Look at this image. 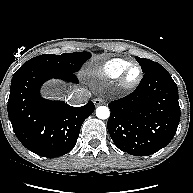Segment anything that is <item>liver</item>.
<instances>
[{
    "label": "liver",
    "instance_id": "6515ba94",
    "mask_svg": "<svg viewBox=\"0 0 193 193\" xmlns=\"http://www.w3.org/2000/svg\"><path fill=\"white\" fill-rule=\"evenodd\" d=\"M77 88H73L72 90L65 91L64 88L60 85V83L56 80L49 81L42 89V95L45 98L54 99L59 96H65L66 94H71Z\"/></svg>",
    "mask_w": 193,
    "mask_h": 193
}]
</instances>
